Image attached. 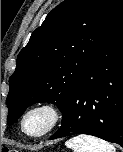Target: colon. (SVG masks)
Listing matches in <instances>:
<instances>
[{
	"label": "colon",
	"instance_id": "5ec220e1",
	"mask_svg": "<svg viewBox=\"0 0 123 152\" xmlns=\"http://www.w3.org/2000/svg\"><path fill=\"white\" fill-rule=\"evenodd\" d=\"M1 152H18V151L13 150V149H9V148H3V149L1 150Z\"/></svg>",
	"mask_w": 123,
	"mask_h": 152
}]
</instances>
